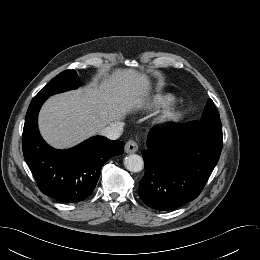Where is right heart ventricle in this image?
<instances>
[{
    "mask_svg": "<svg viewBox=\"0 0 260 260\" xmlns=\"http://www.w3.org/2000/svg\"><path fill=\"white\" fill-rule=\"evenodd\" d=\"M173 100V96L171 95H160L157 96L153 101V106H162L170 103Z\"/></svg>",
    "mask_w": 260,
    "mask_h": 260,
    "instance_id": "right-heart-ventricle-1",
    "label": "right heart ventricle"
}]
</instances>
